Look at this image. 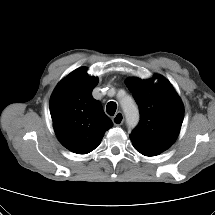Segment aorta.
<instances>
[{"instance_id":"obj_1","label":"aorta","mask_w":215,"mask_h":215,"mask_svg":"<svg viewBox=\"0 0 215 215\" xmlns=\"http://www.w3.org/2000/svg\"><path fill=\"white\" fill-rule=\"evenodd\" d=\"M120 104L125 114V118L128 126L130 127L136 126L139 121V111L134 100L129 96H125L120 101Z\"/></svg>"}]
</instances>
